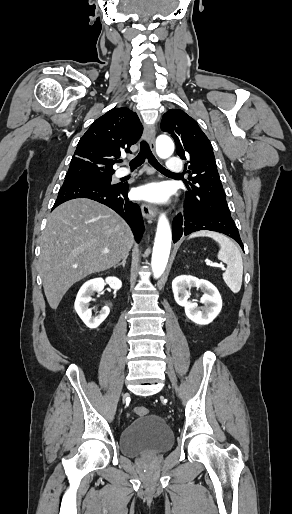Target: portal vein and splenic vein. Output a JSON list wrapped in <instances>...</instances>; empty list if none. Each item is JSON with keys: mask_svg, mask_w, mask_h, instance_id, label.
Masks as SVG:
<instances>
[{"mask_svg": "<svg viewBox=\"0 0 292 514\" xmlns=\"http://www.w3.org/2000/svg\"><path fill=\"white\" fill-rule=\"evenodd\" d=\"M105 254H108V250H105ZM207 266H215V268H221L222 264H212V262H206Z\"/></svg>", "mask_w": 292, "mask_h": 514, "instance_id": "18ae733b", "label": "portal vein and splenic vein"}]
</instances>
